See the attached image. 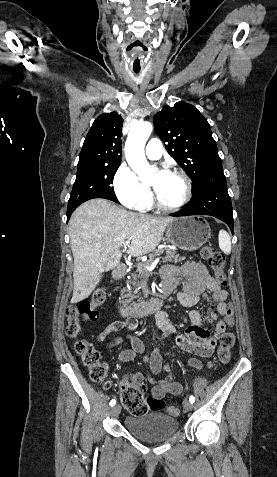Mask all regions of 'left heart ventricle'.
Masks as SVG:
<instances>
[{"instance_id": "1", "label": "left heart ventricle", "mask_w": 277, "mask_h": 477, "mask_svg": "<svg viewBox=\"0 0 277 477\" xmlns=\"http://www.w3.org/2000/svg\"><path fill=\"white\" fill-rule=\"evenodd\" d=\"M150 186L155 189L161 201L170 206L178 204L185 192L182 179L172 173H156Z\"/></svg>"}]
</instances>
